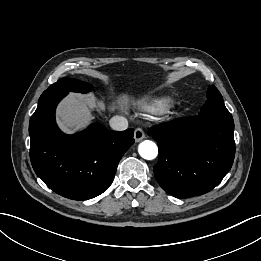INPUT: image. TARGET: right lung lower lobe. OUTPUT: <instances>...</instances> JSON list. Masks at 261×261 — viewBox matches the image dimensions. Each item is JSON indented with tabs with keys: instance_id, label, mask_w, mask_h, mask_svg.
Listing matches in <instances>:
<instances>
[{
	"instance_id": "right-lung-lower-lobe-1",
	"label": "right lung lower lobe",
	"mask_w": 261,
	"mask_h": 261,
	"mask_svg": "<svg viewBox=\"0 0 261 261\" xmlns=\"http://www.w3.org/2000/svg\"><path fill=\"white\" fill-rule=\"evenodd\" d=\"M68 94L46 90L29 122L30 159L35 173L54 192L73 200L102 194L117 165L134 144L133 129L108 131L92 124L77 135H65L55 122V108Z\"/></svg>"
}]
</instances>
